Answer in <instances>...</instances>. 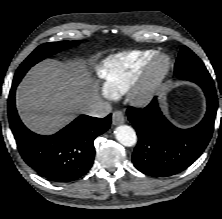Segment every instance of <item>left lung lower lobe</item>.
<instances>
[{"label": "left lung lower lobe", "instance_id": "obj_1", "mask_svg": "<svg viewBox=\"0 0 222 219\" xmlns=\"http://www.w3.org/2000/svg\"><path fill=\"white\" fill-rule=\"evenodd\" d=\"M197 84L206 95L208 107L203 120L193 128L172 125L162 114L157 97L143 109L128 108V119L139 138L132 162L142 173L153 177L177 174L205 150L213 133L218 98L214 83Z\"/></svg>", "mask_w": 222, "mask_h": 219}]
</instances>
